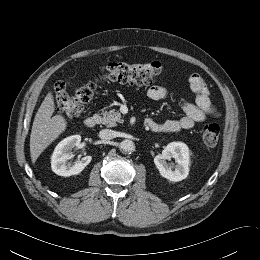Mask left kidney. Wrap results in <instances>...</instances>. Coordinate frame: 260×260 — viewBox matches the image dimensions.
<instances>
[{"mask_svg":"<svg viewBox=\"0 0 260 260\" xmlns=\"http://www.w3.org/2000/svg\"><path fill=\"white\" fill-rule=\"evenodd\" d=\"M172 158L175 163H168ZM154 163L161 176L173 182L181 181L189 174V148L182 142L169 143L161 154L155 156Z\"/></svg>","mask_w":260,"mask_h":260,"instance_id":"1","label":"left kidney"}]
</instances>
